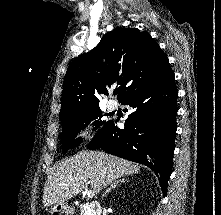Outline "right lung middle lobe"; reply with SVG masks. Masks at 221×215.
Returning a JSON list of instances; mask_svg holds the SVG:
<instances>
[{
	"label": "right lung middle lobe",
	"mask_w": 221,
	"mask_h": 215,
	"mask_svg": "<svg viewBox=\"0 0 221 215\" xmlns=\"http://www.w3.org/2000/svg\"><path fill=\"white\" fill-rule=\"evenodd\" d=\"M101 117L102 112L100 111V108L97 107L85 110L83 112L70 116L64 120H61V122L63 123L61 136L62 151L66 152L68 149H72L75 146L79 145L82 139H75L77 134L91 122H93L92 124L99 123L98 118L100 119Z\"/></svg>",
	"instance_id": "dd1d6c3e"
}]
</instances>
